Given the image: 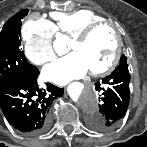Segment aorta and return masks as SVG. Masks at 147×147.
<instances>
[{
  "label": "aorta",
  "mask_w": 147,
  "mask_h": 147,
  "mask_svg": "<svg viewBox=\"0 0 147 147\" xmlns=\"http://www.w3.org/2000/svg\"><path fill=\"white\" fill-rule=\"evenodd\" d=\"M54 48L58 53L61 52L62 47L57 42L54 43ZM70 95L87 114L95 115L98 112V98L94 90L80 85L72 87Z\"/></svg>",
  "instance_id": "1"
}]
</instances>
